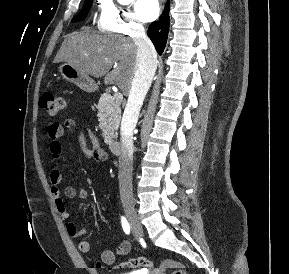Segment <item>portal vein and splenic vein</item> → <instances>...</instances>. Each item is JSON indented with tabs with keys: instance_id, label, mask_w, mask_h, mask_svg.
<instances>
[{
	"instance_id": "obj_1",
	"label": "portal vein and splenic vein",
	"mask_w": 289,
	"mask_h": 274,
	"mask_svg": "<svg viewBox=\"0 0 289 274\" xmlns=\"http://www.w3.org/2000/svg\"><path fill=\"white\" fill-rule=\"evenodd\" d=\"M114 98H116V99H118V100H122L123 99V95H122V93H120V92H116L115 94H114Z\"/></svg>"
}]
</instances>
